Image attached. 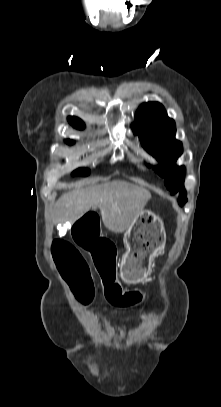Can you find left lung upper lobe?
<instances>
[{"mask_svg": "<svg viewBox=\"0 0 221 407\" xmlns=\"http://www.w3.org/2000/svg\"><path fill=\"white\" fill-rule=\"evenodd\" d=\"M142 146L159 162L154 167L156 173L165 177L164 184L171 194L179 193L181 200H187L184 188V166H176L177 158L182 154V144L175 139V122L167 116L164 107L158 102L142 104L132 125Z\"/></svg>", "mask_w": 221, "mask_h": 407, "instance_id": "obj_1", "label": "left lung upper lobe"}]
</instances>
